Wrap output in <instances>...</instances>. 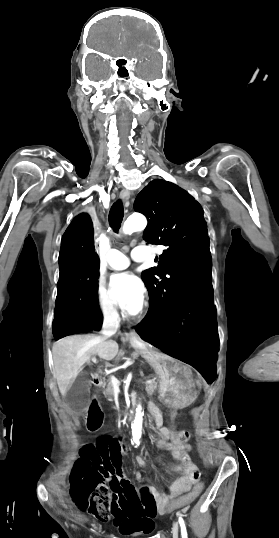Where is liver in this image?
<instances>
[{"instance_id":"1","label":"liver","mask_w":279,"mask_h":538,"mask_svg":"<svg viewBox=\"0 0 279 538\" xmlns=\"http://www.w3.org/2000/svg\"><path fill=\"white\" fill-rule=\"evenodd\" d=\"M119 352V346L113 340L104 342L100 336H67L54 342L52 348L54 372L61 396L76 380L83 364L91 356H100L103 360H113Z\"/></svg>"}]
</instances>
